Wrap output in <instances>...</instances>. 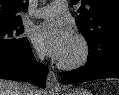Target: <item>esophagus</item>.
<instances>
[{
	"label": "esophagus",
	"instance_id": "34e87169",
	"mask_svg": "<svg viewBox=\"0 0 119 95\" xmlns=\"http://www.w3.org/2000/svg\"><path fill=\"white\" fill-rule=\"evenodd\" d=\"M47 88L49 90H57L59 89V83L57 80V76L53 71H50L47 75V82H46Z\"/></svg>",
	"mask_w": 119,
	"mask_h": 95
}]
</instances>
